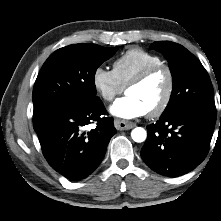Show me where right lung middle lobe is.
Returning <instances> with one entry per match:
<instances>
[{"label": "right lung middle lobe", "mask_w": 221, "mask_h": 221, "mask_svg": "<svg viewBox=\"0 0 221 221\" xmlns=\"http://www.w3.org/2000/svg\"><path fill=\"white\" fill-rule=\"evenodd\" d=\"M118 48L73 44L52 53L41 68L33 89L34 129L60 109L85 107L98 101L95 72Z\"/></svg>", "instance_id": "1"}]
</instances>
